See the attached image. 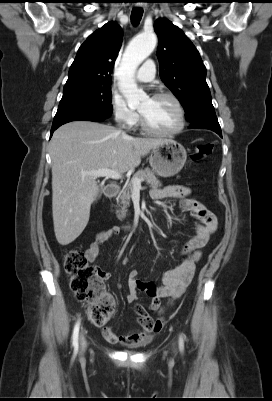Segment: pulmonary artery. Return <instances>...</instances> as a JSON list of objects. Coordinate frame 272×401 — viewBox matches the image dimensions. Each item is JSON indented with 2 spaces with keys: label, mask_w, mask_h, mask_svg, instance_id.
<instances>
[{
  "label": "pulmonary artery",
  "mask_w": 272,
  "mask_h": 401,
  "mask_svg": "<svg viewBox=\"0 0 272 401\" xmlns=\"http://www.w3.org/2000/svg\"><path fill=\"white\" fill-rule=\"evenodd\" d=\"M155 76V65L152 60H147L144 62L141 69L136 74V79L139 82H149L153 80Z\"/></svg>",
  "instance_id": "obj_1"
}]
</instances>
